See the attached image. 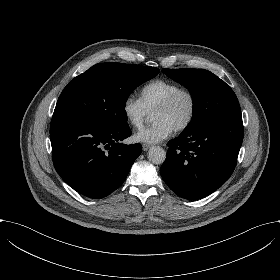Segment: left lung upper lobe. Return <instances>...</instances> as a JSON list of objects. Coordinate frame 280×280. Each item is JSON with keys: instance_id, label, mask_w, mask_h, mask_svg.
<instances>
[{"instance_id": "obj_1", "label": "left lung upper lobe", "mask_w": 280, "mask_h": 280, "mask_svg": "<svg viewBox=\"0 0 280 280\" xmlns=\"http://www.w3.org/2000/svg\"><path fill=\"white\" fill-rule=\"evenodd\" d=\"M191 93L193 116L184 131L217 117L241 112L233 90L212 72L204 69H162Z\"/></svg>"}]
</instances>
